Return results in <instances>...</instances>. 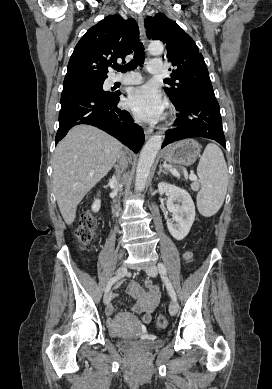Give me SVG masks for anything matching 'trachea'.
<instances>
[{"mask_svg":"<svg viewBox=\"0 0 272 389\" xmlns=\"http://www.w3.org/2000/svg\"><path fill=\"white\" fill-rule=\"evenodd\" d=\"M145 59L144 46L141 42L137 43L134 47V58L128 64L124 66H116L115 69L121 72L131 71L136 68L137 65L143 66Z\"/></svg>","mask_w":272,"mask_h":389,"instance_id":"obj_1","label":"trachea"}]
</instances>
